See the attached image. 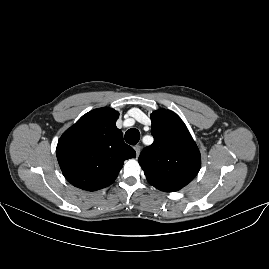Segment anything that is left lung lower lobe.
<instances>
[{"mask_svg":"<svg viewBox=\"0 0 269 269\" xmlns=\"http://www.w3.org/2000/svg\"><path fill=\"white\" fill-rule=\"evenodd\" d=\"M155 186L157 189L165 191V192H174V191H178L181 188L179 187H169V186H161V185H153Z\"/></svg>","mask_w":269,"mask_h":269,"instance_id":"1","label":"left lung lower lobe"}]
</instances>
